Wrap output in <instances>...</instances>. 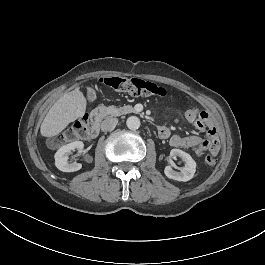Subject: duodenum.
Masks as SVG:
<instances>
[{
    "instance_id": "410a0bca",
    "label": "duodenum",
    "mask_w": 265,
    "mask_h": 265,
    "mask_svg": "<svg viewBox=\"0 0 265 265\" xmlns=\"http://www.w3.org/2000/svg\"><path fill=\"white\" fill-rule=\"evenodd\" d=\"M106 110L104 107L102 106H98L96 108H94L91 112H90V119H91V125L90 128L91 130H97L100 127V119L103 117V115L105 114Z\"/></svg>"
}]
</instances>
